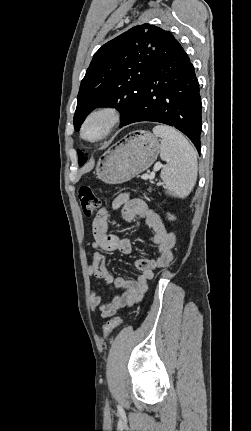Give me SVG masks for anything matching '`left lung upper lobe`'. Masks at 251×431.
<instances>
[{"label":"left lung upper lobe","instance_id":"obj_1","mask_svg":"<svg viewBox=\"0 0 251 431\" xmlns=\"http://www.w3.org/2000/svg\"><path fill=\"white\" fill-rule=\"evenodd\" d=\"M171 36L169 31L143 24L135 26L104 44L93 56L81 81L74 114L79 130L86 116L98 107H114L124 123L132 112L154 63L159 47ZM79 164L87 158L78 151Z\"/></svg>","mask_w":251,"mask_h":431}]
</instances>
